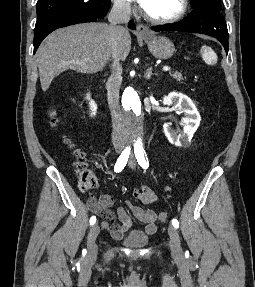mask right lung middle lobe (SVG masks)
Instances as JSON below:
<instances>
[{
  "instance_id": "obj_1",
  "label": "right lung middle lobe",
  "mask_w": 255,
  "mask_h": 287,
  "mask_svg": "<svg viewBox=\"0 0 255 287\" xmlns=\"http://www.w3.org/2000/svg\"><path fill=\"white\" fill-rule=\"evenodd\" d=\"M111 5V0H38L37 21L68 11H84L94 17L103 18Z\"/></svg>"
}]
</instances>
